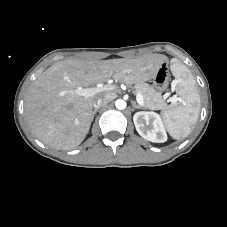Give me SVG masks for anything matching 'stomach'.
Listing matches in <instances>:
<instances>
[{"label":"stomach","instance_id":"stomach-1","mask_svg":"<svg viewBox=\"0 0 227 227\" xmlns=\"http://www.w3.org/2000/svg\"><path fill=\"white\" fill-rule=\"evenodd\" d=\"M167 66H168V60H163V62L160 63V69L158 70L156 75L152 78L153 85L155 89L158 91L166 90L169 85L170 74L167 69Z\"/></svg>","mask_w":227,"mask_h":227}]
</instances>
